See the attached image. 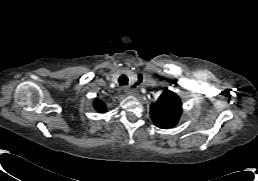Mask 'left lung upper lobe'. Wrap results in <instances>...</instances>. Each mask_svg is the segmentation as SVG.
<instances>
[{
  "instance_id": "left-lung-upper-lobe-1",
  "label": "left lung upper lobe",
  "mask_w": 258,
  "mask_h": 181,
  "mask_svg": "<svg viewBox=\"0 0 258 181\" xmlns=\"http://www.w3.org/2000/svg\"><path fill=\"white\" fill-rule=\"evenodd\" d=\"M182 105L179 97L172 91L162 93L156 103L150 107L151 118L159 128H171L180 118Z\"/></svg>"
}]
</instances>
